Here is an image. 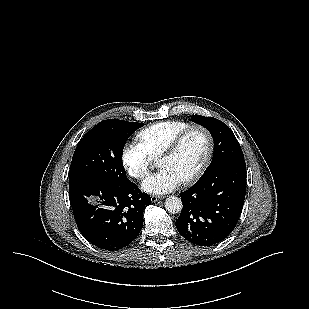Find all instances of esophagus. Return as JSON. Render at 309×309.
<instances>
[{"label": "esophagus", "instance_id": "esophagus-1", "mask_svg": "<svg viewBox=\"0 0 309 309\" xmlns=\"http://www.w3.org/2000/svg\"><path fill=\"white\" fill-rule=\"evenodd\" d=\"M162 198H163L162 196L153 195V196H151V201L152 202H157L158 200H160Z\"/></svg>", "mask_w": 309, "mask_h": 309}]
</instances>
